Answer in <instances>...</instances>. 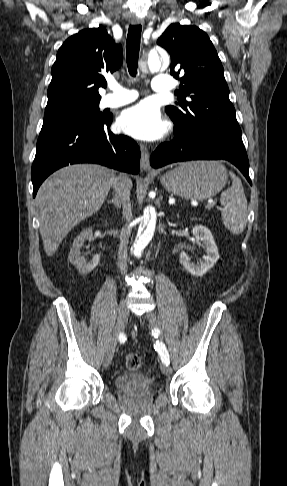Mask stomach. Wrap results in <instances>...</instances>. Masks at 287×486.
<instances>
[{"instance_id":"obj_1","label":"stomach","mask_w":287,"mask_h":486,"mask_svg":"<svg viewBox=\"0 0 287 486\" xmlns=\"http://www.w3.org/2000/svg\"><path fill=\"white\" fill-rule=\"evenodd\" d=\"M226 168L215 161H191L179 164L160 177L170 193L190 200H204L216 195L227 182Z\"/></svg>"}]
</instances>
